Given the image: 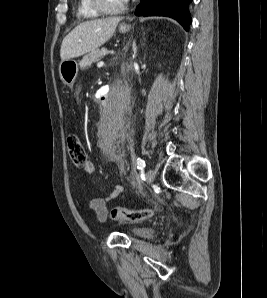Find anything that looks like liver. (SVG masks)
I'll return each mask as SVG.
<instances>
[{"label":"liver","instance_id":"1","mask_svg":"<svg viewBox=\"0 0 267 298\" xmlns=\"http://www.w3.org/2000/svg\"><path fill=\"white\" fill-rule=\"evenodd\" d=\"M121 20V17H110L77 25L62 41L61 61L80 57L103 45L112 37Z\"/></svg>","mask_w":267,"mask_h":298}]
</instances>
